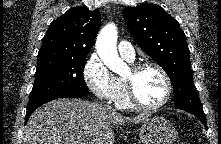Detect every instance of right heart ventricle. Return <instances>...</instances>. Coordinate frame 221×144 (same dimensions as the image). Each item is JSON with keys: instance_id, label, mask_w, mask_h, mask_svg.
Instances as JSON below:
<instances>
[{"instance_id": "e07e8e85", "label": "right heart ventricle", "mask_w": 221, "mask_h": 144, "mask_svg": "<svg viewBox=\"0 0 221 144\" xmlns=\"http://www.w3.org/2000/svg\"><path fill=\"white\" fill-rule=\"evenodd\" d=\"M128 61V60H127ZM132 62V61H129ZM117 82L120 87L119 94L117 98L115 99L116 106L120 109H130L133 106L129 102L128 96H127V90H126V84L125 80L122 77L116 78Z\"/></svg>"}]
</instances>
